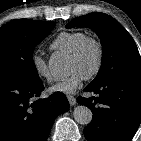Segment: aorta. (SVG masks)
<instances>
[{"mask_svg":"<svg viewBox=\"0 0 141 141\" xmlns=\"http://www.w3.org/2000/svg\"><path fill=\"white\" fill-rule=\"evenodd\" d=\"M66 68V61L61 57L53 56L49 60V69L51 73L56 77L65 75L67 70ZM73 116L77 123L81 125H88L92 120L93 114L88 107L79 105L74 108Z\"/></svg>","mask_w":141,"mask_h":141,"instance_id":"aorta-1","label":"aorta"}]
</instances>
